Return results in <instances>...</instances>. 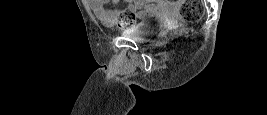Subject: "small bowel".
<instances>
[{"label": "small bowel", "instance_id": "c3829d8e", "mask_svg": "<svg viewBox=\"0 0 267 115\" xmlns=\"http://www.w3.org/2000/svg\"><path fill=\"white\" fill-rule=\"evenodd\" d=\"M107 2V0H90L89 4L99 18L108 19L113 15L105 8ZM126 3L138 9L142 8L146 14L166 15L178 10L177 4L163 0H126Z\"/></svg>", "mask_w": 267, "mask_h": 115}]
</instances>
